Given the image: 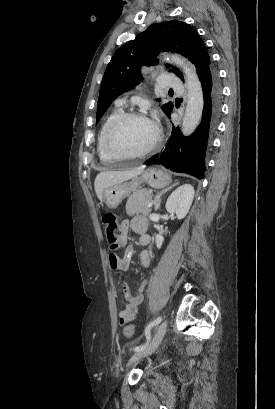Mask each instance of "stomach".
Returning <instances> with one entry per match:
<instances>
[{"instance_id":"stomach-1","label":"stomach","mask_w":275,"mask_h":409,"mask_svg":"<svg viewBox=\"0 0 275 409\" xmlns=\"http://www.w3.org/2000/svg\"><path fill=\"white\" fill-rule=\"evenodd\" d=\"M141 182H147V184L153 186V188H163V186L170 184L171 178L168 172H164L161 168L150 166V168H146V170L142 172L141 176H135V178H132L129 182H119V184H113V186L104 188L103 200L105 205H107L109 209H116V207L120 205L122 198L129 196L130 192H134V190L140 188Z\"/></svg>"}]
</instances>
